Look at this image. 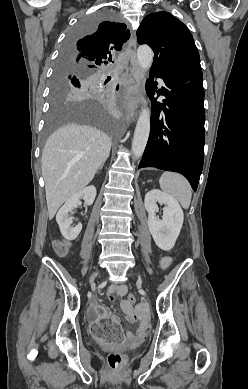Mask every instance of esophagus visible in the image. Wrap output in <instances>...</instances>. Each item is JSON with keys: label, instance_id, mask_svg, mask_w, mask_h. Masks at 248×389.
Listing matches in <instances>:
<instances>
[{"label": "esophagus", "instance_id": "esophagus-1", "mask_svg": "<svg viewBox=\"0 0 248 389\" xmlns=\"http://www.w3.org/2000/svg\"><path fill=\"white\" fill-rule=\"evenodd\" d=\"M127 52L130 55L131 59L133 60V76L131 79L130 84L127 87L126 90V97H125V119L126 122L129 124L133 122L137 117L138 112V98L141 93V79L142 75L139 71V68L136 63V34L132 33L131 38L128 43Z\"/></svg>", "mask_w": 248, "mask_h": 389}]
</instances>
